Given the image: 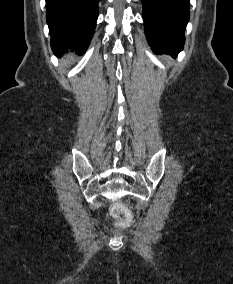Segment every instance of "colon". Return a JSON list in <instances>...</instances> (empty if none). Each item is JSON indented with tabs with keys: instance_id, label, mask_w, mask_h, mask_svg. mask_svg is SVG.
Segmentation results:
<instances>
[{
	"instance_id": "obj_1",
	"label": "colon",
	"mask_w": 233,
	"mask_h": 284,
	"mask_svg": "<svg viewBox=\"0 0 233 284\" xmlns=\"http://www.w3.org/2000/svg\"><path fill=\"white\" fill-rule=\"evenodd\" d=\"M112 213L115 217L121 219L122 221H127L129 219V213L127 209L120 204L114 205L112 207Z\"/></svg>"
}]
</instances>
